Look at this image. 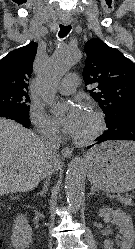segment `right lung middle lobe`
<instances>
[{
  "label": "right lung middle lobe",
  "mask_w": 135,
  "mask_h": 249,
  "mask_svg": "<svg viewBox=\"0 0 135 249\" xmlns=\"http://www.w3.org/2000/svg\"><path fill=\"white\" fill-rule=\"evenodd\" d=\"M29 96L26 91H0V106L12 107L28 115Z\"/></svg>",
  "instance_id": "obj_1"
}]
</instances>
